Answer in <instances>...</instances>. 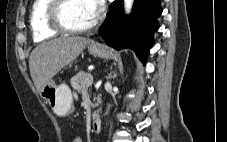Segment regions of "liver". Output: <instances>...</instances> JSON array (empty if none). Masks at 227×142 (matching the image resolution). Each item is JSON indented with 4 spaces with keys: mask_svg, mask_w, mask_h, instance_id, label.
<instances>
[{
    "mask_svg": "<svg viewBox=\"0 0 227 142\" xmlns=\"http://www.w3.org/2000/svg\"><path fill=\"white\" fill-rule=\"evenodd\" d=\"M89 40L84 37H59L39 44L29 58L32 80L38 92L61 69L75 60Z\"/></svg>",
    "mask_w": 227,
    "mask_h": 142,
    "instance_id": "6515ba94",
    "label": "liver"
}]
</instances>
